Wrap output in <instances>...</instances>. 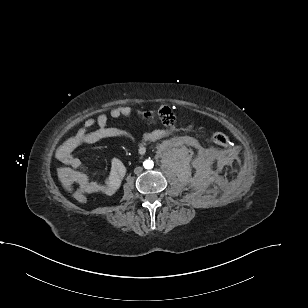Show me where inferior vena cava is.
Wrapping results in <instances>:
<instances>
[{"mask_svg": "<svg viewBox=\"0 0 308 308\" xmlns=\"http://www.w3.org/2000/svg\"><path fill=\"white\" fill-rule=\"evenodd\" d=\"M142 167H136L135 169H134V173L135 174H139V173H141L142 172Z\"/></svg>", "mask_w": 308, "mask_h": 308, "instance_id": "obj_1", "label": "inferior vena cava"}]
</instances>
